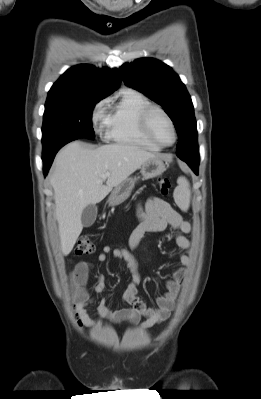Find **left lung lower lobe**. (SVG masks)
Masks as SVG:
<instances>
[{"instance_id":"left-lung-lower-lobe-1","label":"left lung lower lobe","mask_w":261,"mask_h":399,"mask_svg":"<svg viewBox=\"0 0 261 399\" xmlns=\"http://www.w3.org/2000/svg\"><path fill=\"white\" fill-rule=\"evenodd\" d=\"M183 161H185L192 168L195 174H198L199 159H185Z\"/></svg>"}]
</instances>
